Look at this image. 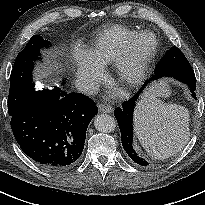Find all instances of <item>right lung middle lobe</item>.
<instances>
[{
	"label": "right lung middle lobe",
	"instance_id": "dd1d6c3e",
	"mask_svg": "<svg viewBox=\"0 0 205 205\" xmlns=\"http://www.w3.org/2000/svg\"><path fill=\"white\" fill-rule=\"evenodd\" d=\"M51 43L39 35H34L26 47L19 52L10 76L8 113H17L36 92L32 79V70L37 60L41 59L40 50Z\"/></svg>",
	"mask_w": 205,
	"mask_h": 205
}]
</instances>
